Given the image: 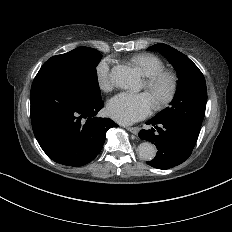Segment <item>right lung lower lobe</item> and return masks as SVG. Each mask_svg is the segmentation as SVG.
Instances as JSON below:
<instances>
[{"instance_id": "right-lung-lower-lobe-1", "label": "right lung lower lobe", "mask_w": 232, "mask_h": 232, "mask_svg": "<svg viewBox=\"0 0 232 232\" xmlns=\"http://www.w3.org/2000/svg\"><path fill=\"white\" fill-rule=\"evenodd\" d=\"M31 123L43 151L55 162L83 166L101 151L106 132L118 125L97 118L102 99L84 94L71 70L61 65H43L30 93Z\"/></svg>"}]
</instances>
